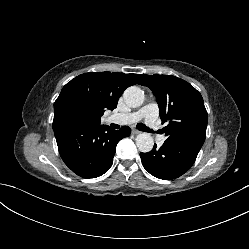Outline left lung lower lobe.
I'll use <instances>...</instances> for the list:
<instances>
[{
	"instance_id": "left-lung-lower-lobe-1",
	"label": "left lung lower lobe",
	"mask_w": 249,
	"mask_h": 249,
	"mask_svg": "<svg viewBox=\"0 0 249 249\" xmlns=\"http://www.w3.org/2000/svg\"><path fill=\"white\" fill-rule=\"evenodd\" d=\"M200 148L180 142L156 144L148 153H140L144 168L153 176L171 180L187 172L194 164Z\"/></svg>"
}]
</instances>
